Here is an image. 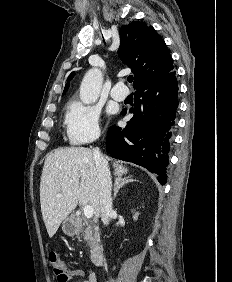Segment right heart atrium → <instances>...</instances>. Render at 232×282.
Returning a JSON list of instances; mask_svg holds the SVG:
<instances>
[{"instance_id":"1","label":"right heart atrium","mask_w":232,"mask_h":282,"mask_svg":"<svg viewBox=\"0 0 232 282\" xmlns=\"http://www.w3.org/2000/svg\"><path fill=\"white\" fill-rule=\"evenodd\" d=\"M99 110L80 101H73L65 115L68 140L73 145H85L100 135Z\"/></svg>"}]
</instances>
